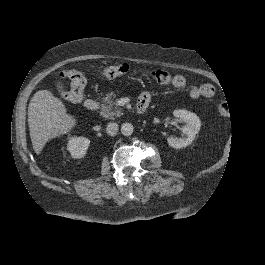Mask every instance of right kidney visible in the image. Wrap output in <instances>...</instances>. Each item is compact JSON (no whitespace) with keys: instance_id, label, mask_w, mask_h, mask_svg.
<instances>
[{"instance_id":"1","label":"right kidney","mask_w":265,"mask_h":265,"mask_svg":"<svg viewBox=\"0 0 265 265\" xmlns=\"http://www.w3.org/2000/svg\"><path fill=\"white\" fill-rule=\"evenodd\" d=\"M90 141L86 138L73 139L70 142V151L73 158L83 157L88 149Z\"/></svg>"}]
</instances>
